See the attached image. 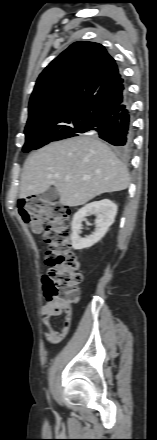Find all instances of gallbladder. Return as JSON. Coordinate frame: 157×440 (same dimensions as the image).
Listing matches in <instances>:
<instances>
[{
	"mask_svg": "<svg viewBox=\"0 0 157 440\" xmlns=\"http://www.w3.org/2000/svg\"><path fill=\"white\" fill-rule=\"evenodd\" d=\"M42 199L47 201H54L59 198V192L56 188L51 187L47 191L41 194Z\"/></svg>",
	"mask_w": 157,
	"mask_h": 440,
	"instance_id": "obj_1",
	"label": "gallbladder"
}]
</instances>
